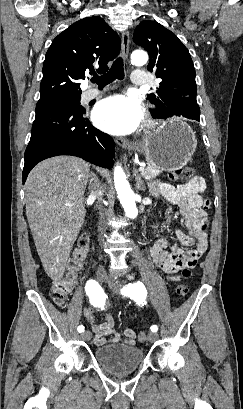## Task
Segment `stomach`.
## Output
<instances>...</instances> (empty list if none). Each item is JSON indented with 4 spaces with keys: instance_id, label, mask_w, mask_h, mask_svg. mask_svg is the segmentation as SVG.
Returning <instances> with one entry per match:
<instances>
[{
    "instance_id": "1",
    "label": "stomach",
    "mask_w": 243,
    "mask_h": 409,
    "mask_svg": "<svg viewBox=\"0 0 243 409\" xmlns=\"http://www.w3.org/2000/svg\"><path fill=\"white\" fill-rule=\"evenodd\" d=\"M197 146L191 127L178 118L164 121L147 132L135 146L146 161L161 171H175L184 167L192 158Z\"/></svg>"
}]
</instances>
